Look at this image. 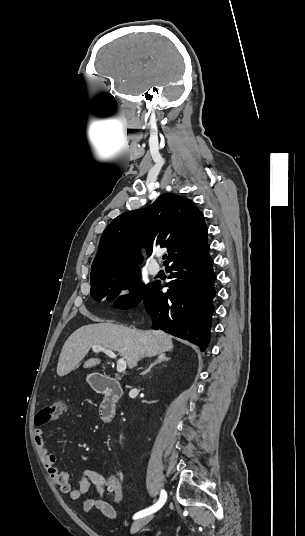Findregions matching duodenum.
I'll use <instances>...</instances> for the list:
<instances>
[{
	"mask_svg": "<svg viewBox=\"0 0 305 536\" xmlns=\"http://www.w3.org/2000/svg\"><path fill=\"white\" fill-rule=\"evenodd\" d=\"M95 391L103 394L100 405V418L104 423H111L116 418V406L122 396V388L113 377L95 375L92 380Z\"/></svg>",
	"mask_w": 305,
	"mask_h": 536,
	"instance_id": "1",
	"label": "duodenum"
}]
</instances>
